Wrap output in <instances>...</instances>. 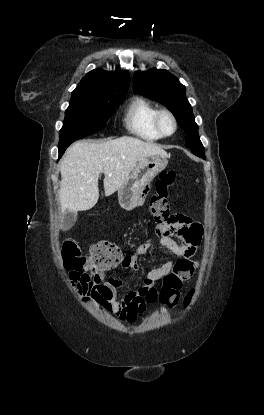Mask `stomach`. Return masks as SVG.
Masks as SVG:
<instances>
[{
  "label": "stomach",
  "instance_id": "1",
  "mask_svg": "<svg viewBox=\"0 0 264 415\" xmlns=\"http://www.w3.org/2000/svg\"><path fill=\"white\" fill-rule=\"evenodd\" d=\"M167 164L168 158L165 155H153L139 160L126 182L118 189L120 206L131 211L142 205L144 188Z\"/></svg>",
  "mask_w": 264,
  "mask_h": 415
}]
</instances>
